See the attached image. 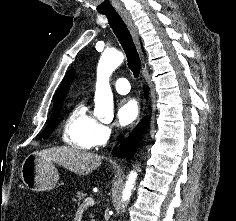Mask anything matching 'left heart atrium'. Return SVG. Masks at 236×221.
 <instances>
[{"instance_id":"39dd6f15","label":"left heart atrium","mask_w":236,"mask_h":221,"mask_svg":"<svg viewBox=\"0 0 236 221\" xmlns=\"http://www.w3.org/2000/svg\"><path fill=\"white\" fill-rule=\"evenodd\" d=\"M137 102L130 97L122 98L118 102L117 121L120 126H128L138 116Z\"/></svg>"}]
</instances>
